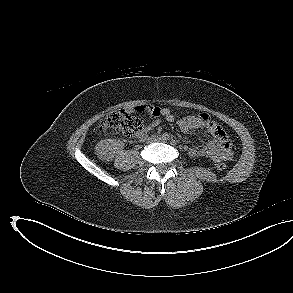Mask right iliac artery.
Wrapping results in <instances>:
<instances>
[{"mask_svg": "<svg viewBox=\"0 0 293 293\" xmlns=\"http://www.w3.org/2000/svg\"><path fill=\"white\" fill-rule=\"evenodd\" d=\"M162 137L164 140H169L170 135L168 133H164Z\"/></svg>", "mask_w": 293, "mask_h": 293, "instance_id": "obj_1", "label": "right iliac artery"}]
</instances>
